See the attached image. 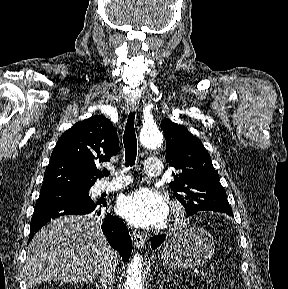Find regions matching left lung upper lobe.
Returning <instances> with one entry per match:
<instances>
[{
  "label": "left lung upper lobe",
  "instance_id": "5c2ea615",
  "mask_svg": "<svg viewBox=\"0 0 288 289\" xmlns=\"http://www.w3.org/2000/svg\"><path fill=\"white\" fill-rule=\"evenodd\" d=\"M167 147V161L177 173L169 184L175 197L187 211H216L232 215L226 192L219 182L211 157L201 140L184 126L164 119L161 122Z\"/></svg>",
  "mask_w": 288,
  "mask_h": 289
}]
</instances>
